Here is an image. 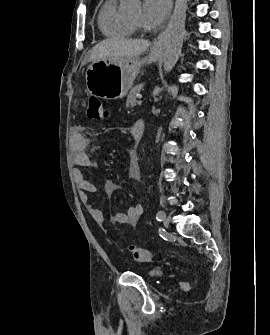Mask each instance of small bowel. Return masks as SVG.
Returning <instances> with one entry per match:
<instances>
[{
  "label": "small bowel",
  "instance_id": "obj_1",
  "mask_svg": "<svg viewBox=\"0 0 270 335\" xmlns=\"http://www.w3.org/2000/svg\"><path fill=\"white\" fill-rule=\"evenodd\" d=\"M88 141L81 132L80 127L75 126L70 132V156L71 162L75 166L73 176L76 186L79 190L81 201L87 205L88 211L92 218L99 224L105 222L103 212L90 204L89 194L97 192V187L86 179L82 168H95L96 163L91 160L87 154ZM130 159L129 176L132 179L139 180L141 178L138 166V155L135 147L128 151ZM104 190L108 196L113 195L117 190V185L112 179H106L104 182ZM144 213V207L141 204H135L127 208L125 212H118L113 218L115 224L136 225Z\"/></svg>",
  "mask_w": 270,
  "mask_h": 335
}]
</instances>
